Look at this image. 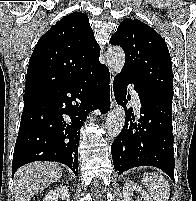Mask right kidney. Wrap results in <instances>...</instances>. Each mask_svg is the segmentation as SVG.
<instances>
[{"mask_svg": "<svg viewBox=\"0 0 196 201\" xmlns=\"http://www.w3.org/2000/svg\"><path fill=\"white\" fill-rule=\"evenodd\" d=\"M69 196V189L66 186H59L54 190L49 191L45 195L43 201H58V199L70 201Z\"/></svg>", "mask_w": 196, "mask_h": 201, "instance_id": "1", "label": "right kidney"}]
</instances>
